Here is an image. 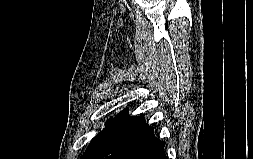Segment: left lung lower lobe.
Returning <instances> with one entry per match:
<instances>
[{
  "mask_svg": "<svg viewBox=\"0 0 253 159\" xmlns=\"http://www.w3.org/2000/svg\"><path fill=\"white\" fill-rule=\"evenodd\" d=\"M144 118L127 116V110L110 120L82 159H167L165 142L154 136Z\"/></svg>",
  "mask_w": 253,
  "mask_h": 159,
  "instance_id": "1",
  "label": "left lung lower lobe"
}]
</instances>
